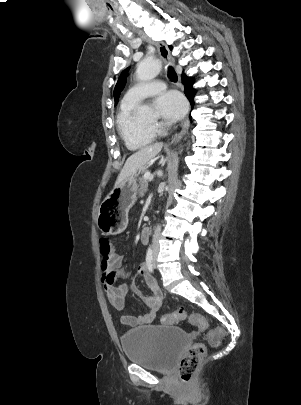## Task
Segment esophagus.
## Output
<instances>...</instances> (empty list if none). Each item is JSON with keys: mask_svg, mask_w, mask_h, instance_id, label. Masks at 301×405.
<instances>
[{"mask_svg": "<svg viewBox=\"0 0 301 405\" xmlns=\"http://www.w3.org/2000/svg\"><path fill=\"white\" fill-rule=\"evenodd\" d=\"M140 37L148 42H153V40L143 31L139 32ZM156 46L158 48L159 54L161 56V58L171 64L172 66L175 65V60L173 58V56L170 53L169 48L167 47V45L164 42H156ZM188 127H189V121L188 118L184 120V122L182 123L181 126V131L178 134H175L172 138V142H178L181 140V138L186 134V132L188 131Z\"/></svg>", "mask_w": 301, "mask_h": 405, "instance_id": "1", "label": "esophagus"}]
</instances>
